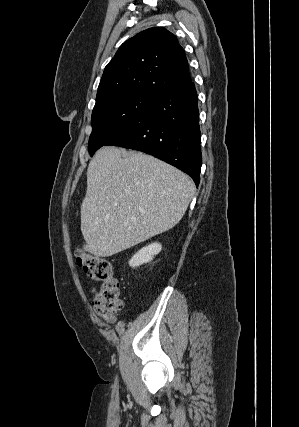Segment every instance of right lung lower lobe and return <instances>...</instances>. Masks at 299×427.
Listing matches in <instances>:
<instances>
[{
	"label": "right lung lower lobe",
	"instance_id": "obj_1",
	"mask_svg": "<svg viewBox=\"0 0 299 427\" xmlns=\"http://www.w3.org/2000/svg\"><path fill=\"white\" fill-rule=\"evenodd\" d=\"M105 146L151 154L200 181L201 149L197 93L192 82L154 98L147 109Z\"/></svg>",
	"mask_w": 299,
	"mask_h": 427
}]
</instances>
